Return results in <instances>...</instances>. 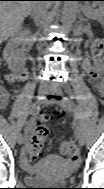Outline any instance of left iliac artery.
I'll return each instance as SVG.
<instances>
[{
	"mask_svg": "<svg viewBox=\"0 0 104 189\" xmlns=\"http://www.w3.org/2000/svg\"><path fill=\"white\" fill-rule=\"evenodd\" d=\"M59 96H62V92H58ZM62 101L65 102L70 108H72L74 111H77V107L75 104H73L66 96H62Z\"/></svg>",
	"mask_w": 104,
	"mask_h": 189,
	"instance_id": "left-iliac-artery-1",
	"label": "left iliac artery"
}]
</instances>
